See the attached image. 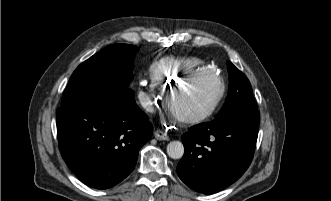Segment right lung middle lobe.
Masks as SVG:
<instances>
[{
  "instance_id": "right-lung-middle-lobe-1",
  "label": "right lung middle lobe",
  "mask_w": 331,
  "mask_h": 201,
  "mask_svg": "<svg viewBox=\"0 0 331 201\" xmlns=\"http://www.w3.org/2000/svg\"><path fill=\"white\" fill-rule=\"evenodd\" d=\"M137 46L109 45L79 65L69 79L61 107L97 94L129 88Z\"/></svg>"
}]
</instances>
